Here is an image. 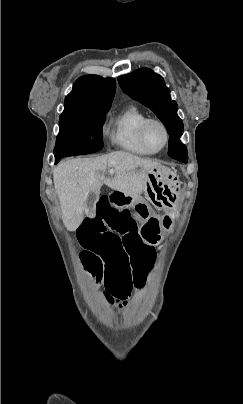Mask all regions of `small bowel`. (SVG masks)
<instances>
[{
  "mask_svg": "<svg viewBox=\"0 0 243 404\" xmlns=\"http://www.w3.org/2000/svg\"><path fill=\"white\" fill-rule=\"evenodd\" d=\"M84 267L104 286L110 303L124 306L133 288L142 287L151 274L155 249L138 232L129 207L116 205L110 195L100 197L78 229Z\"/></svg>",
  "mask_w": 243,
  "mask_h": 404,
  "instance_id": "c3829d8e",
  "label": "small bowel"
}]
</instances>
